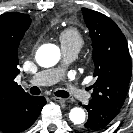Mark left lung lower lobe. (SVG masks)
I'll return each instance as SVG.
<instances>
[{"mask_svg":"<svg viewBox=\"0 0 133 133\" xmlns=\"http://www.w3.org/2000/svg\"><path fill=\"white\" fill-rule=\"evenodd\" d=\"M84 107L89 116L88 121L80 127L81 133H99L111 123L120 111L118 108L109 107L105 103L93 99Z\"/></svg>","mask_w":133,"mask_h":133,"instance_id":"obj_1","label":"left lung lower lobe"}]
</instances>
